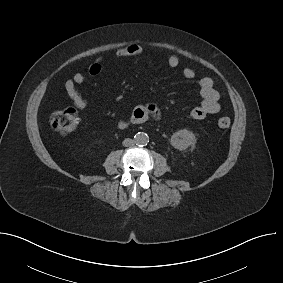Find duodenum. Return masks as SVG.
I'll return each instance as SVG.
<instances>
[{
	"instance_id": "duodenum-1",
	"label": "duodenum",
	"mask_w": 283,
	"mask_h": 283,
	"mask_svg": "<svg viewBox=\"0 0 283 283\" xmlns=\"http://www.w3.org/2000/svg\"><path fill=\"white\" fill-rule=\"evenodd\" d=\"M124 125H125L124 123H121V127L124 126Z\"/></svg>"
}]
</instances>
